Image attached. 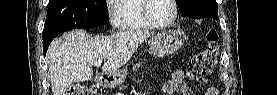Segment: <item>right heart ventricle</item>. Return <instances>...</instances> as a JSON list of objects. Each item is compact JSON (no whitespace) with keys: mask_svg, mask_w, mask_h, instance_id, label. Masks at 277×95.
I'll return each mask as SVG.
<instances>
[{"mask_svg":"<svg viewBox=\"0 0 277 95\" xmlns=\"http://www.w3.org/2000/svg\"><path fill=\"white\" fill-rule=\"evenodd\" d=\"M144 3L145 0H117L116 27L124 31L149 29L143 15Z\"/></svg>","mask_w":277,"mask_h":95,"instance_id":"e07e8e85","label":"right heart ventricle"}]
</instances>
